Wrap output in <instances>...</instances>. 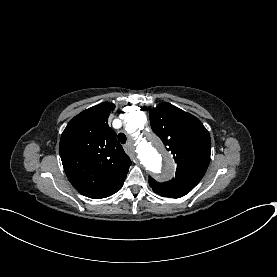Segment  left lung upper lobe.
<instances>
[{"instance_id":"obj_1","label":"left lung upper lobe","mask_w":277,"mask_h":277,"mask_svg":"<svg viewBox=\"0 0 277 277\" xmlns=\"http://www.w3.org/2000/svg\"><path fill=\"white\" fill-rule=\"evenodd\" d=\"M149 114L152 130L177 163L175 178L159 183L149 177V185L161 196L180 198L199 183L208 168L210 135L198 118L170 103L159 104Z\"/></svg>"}]
</instances>
